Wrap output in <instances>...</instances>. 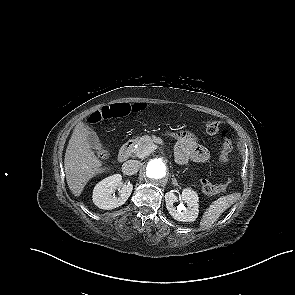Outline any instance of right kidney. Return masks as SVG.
<instances>
[{
    "mask_svg": "<svg viewBox=\"0 0 295 295\" xmlns=\"http://www.w3.org/2000/svg\"><path fill=\"white\" fill-rule=\"evenodd\" d=\"M122 176L115 174L100 181L93 190L94 204L104 210H111L123 205L132 193L131 183H122ZM118 189L120 195L116 197L112 193Z\"/></svg>",
    "mask_w": 295,
    "mask_h": 295,
    "instance_id": "1",
    "label": "right kidney"
}]
</instances>
